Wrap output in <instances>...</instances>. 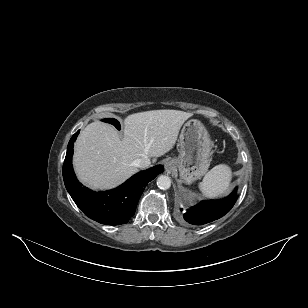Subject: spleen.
<instances>
[{
	"label": "spleen",
	"instance_id": "3e777b00",
	"mask_svg": "<svg viewBox=\"0 0 308 308\" xmlns=\"http://www.w3.org/2000/svg\"><path fill=\"white\" fill-rule=\"evenodd\" d=\"M231 179L230 167L226 164H219L205 175L199 183V189L205 197L216 198L228 190Z\"/></svg>",
	"mask_w": 308,
	"mask_h": 308
}]
</instances>
